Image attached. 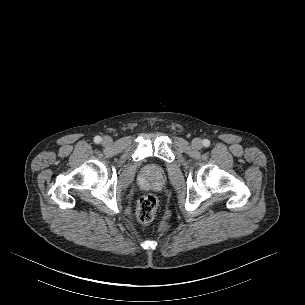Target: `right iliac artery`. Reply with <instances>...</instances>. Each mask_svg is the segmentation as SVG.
Listing matches in <instances>:
<instances>
[{
    "label": "right iliac artery",
    "instance_id": "right-iliac-artery-1",
    "mask_svg": "<svg viewBox=\"0 0 305 305\" xmlns=\"http://www.w3.org/2000/svg\"><path fill=\"white\" fill-rule=\"evenodd\" d=\"M94 142H95V143H100V142H101V137H100V136H96V137L94 138Z\"/></svg>",
    "mask_w": 305,
    "mask_h": 305
}]
</instances>
